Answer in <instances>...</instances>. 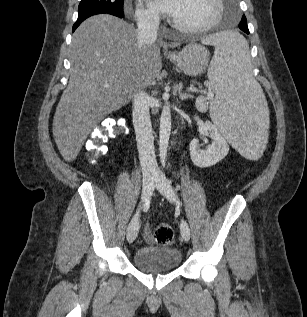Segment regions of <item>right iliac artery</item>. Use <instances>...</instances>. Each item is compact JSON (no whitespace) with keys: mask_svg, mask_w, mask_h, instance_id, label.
Masks as SVG:
<instances>
[{"mask_svg":"<svg viewBox=\"0 0 307 317\" xmlns=\"http://www.w3.org/2000/svg\"><path fill=\"white\" fill-rule=\"evenodd\" d=\"M150 202H151V198H148L146 201H145V204L143 206V210H148V208L150 207Z\"/></svg>","mask_w":307,"mask_h":317,"instance_id":"obj_1","label":"right iliac artery"}]
</instances>
